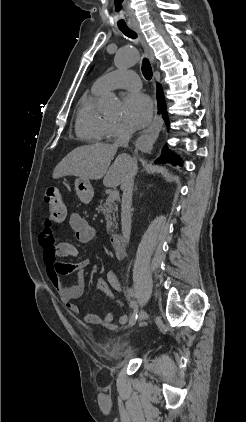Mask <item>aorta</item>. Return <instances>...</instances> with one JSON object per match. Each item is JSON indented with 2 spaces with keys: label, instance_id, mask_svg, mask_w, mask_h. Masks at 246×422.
<instances>
[{
  "label": "aorta",
  "instance_id": "762f6f07",
  "mask_svg": "<svg viewBox=\"0 0 246 422\" xmlns=\"http://www.w3.org/2000/svg\"><path fill=\"white\" fill-rule=\"evenodd\" d=\"M139 59L138 50L135 47H123L115 55V65L118 68H126L135 64ZM104 112L109 115H118L120 113L119 104L113 95H108L104 102Z\"/></svg>",
  "mask_w": 246,
  "mask_h": 422
}]
</instances>
